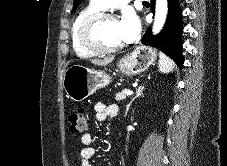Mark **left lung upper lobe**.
<instances>
[{
    "label": "left lung upper lobe",
    "mask_w": 227,
    "mask_h": 166,
    "mask_svg": "<svg viewBox=\"0 0 227 166\" xmlns=\"http://www.w3.org/2000/svg\"><path fill=\"white\" fill-rule=\"evenodd\" d=\"M83 0H75L74 5H73V10L72 12L75 11V9L78 7V5L82 2Z\"/></svg>",
    "instance_id": "left-lung-upper-lobe-1"
}]
</instances>
